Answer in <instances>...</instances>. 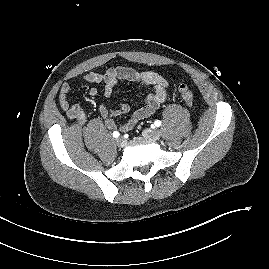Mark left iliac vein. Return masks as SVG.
<instances>
[{"label":"left iliac vein","instance_id":"4c4485c4","mask_svg":"<svg viewBox=\"0 0 269 269\" xmlns=\"http://www.w3.org/2000/svg\"><path fill=\"white\" fill-rule=\"evenodd\" d=\"M142 134L146 139L153 141L159 140L161 136V132L158 129H145Z\"/></svg>","mask_w":269,"mask_h":269}]
</instances>
